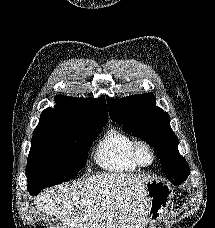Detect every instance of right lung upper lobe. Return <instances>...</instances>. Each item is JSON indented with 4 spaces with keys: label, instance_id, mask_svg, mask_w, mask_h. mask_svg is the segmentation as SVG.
Returning a JSON list of instances; mask_svg holds the SVG:
<instances>
[{
    "label": "right lung upper lobe",
    "instance_id": "cb5924a9",
    "mask_svg": "<svg viewBox=\"0 0 215 228\" xmlns=\"http://www.w3.org/2000/svg\"><path fill=\"white\" fill-rule=\"evenodd\" d=\"M55 109L47 108L40 116V121L33 134L53 128L107 123L108 113L105 98H72L58 95Z\"/></svg>",
    "mask_w": 215,
    "mask_h": 228
}]
</instances>
